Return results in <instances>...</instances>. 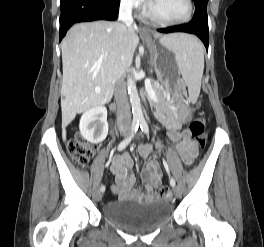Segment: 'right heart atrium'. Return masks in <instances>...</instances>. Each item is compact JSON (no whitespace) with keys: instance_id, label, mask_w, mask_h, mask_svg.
<instances>
[{"instance_id":"right-heart-atrium-1","label":"right heart atrium","mask_w":264,"mask_h":247,"mask_svg":"<svg viewBox=\"0 0 264 247\" xmlns=\"http://www.w3.org/2000/svg\"><path fill=\"white\" fill-rule=\"evenodd\" d=\"M120 3L127 10H135L142 6L141 0H120Z\"/></svg>"}]
</instances>
